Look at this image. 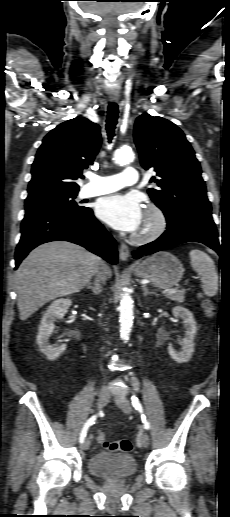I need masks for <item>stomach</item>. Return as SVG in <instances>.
<instances>
[{
  "instance_id": "obj_1",
  "label": "stomach",
  "mask_w": 230,
  "mask_h": 517,
  "mask_svg": "<svg viewBox=\"0 0 230 517\" xmlns=\"http://www.w3.org/2000/svg\"><path fill=\"white\" fill-rule=\"evenodd\" d=\"M133 273L151 281L155 286L167 289L182 278L184 268L177 257L169 252H158L132 268Z\"/></svg>"
}]
</instances>
